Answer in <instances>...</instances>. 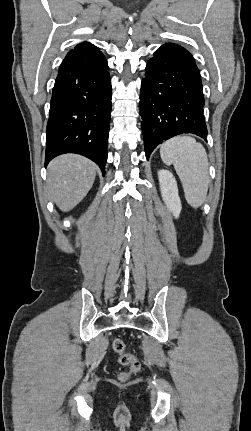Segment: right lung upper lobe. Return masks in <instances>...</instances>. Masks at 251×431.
I'll use <instances>...</instances> for the list:
<instances>
[{
	"instance_id": "1",
	"label": "right lung upper lobe",
	"mask_w": 251,
	"mask_h": 431,
	"mask_svg": "<svg viewBox=\"0 0 251 431\" xmlns=\"http://www.w3.org/2000/svg\"><path fill=\"white\" fill-rule=\"evenodd\" d=\"M88 45H92V44L87 43V42H83L81 44H78L76 47H84V46H88Z\"/></svg>"
}]
</instances>
